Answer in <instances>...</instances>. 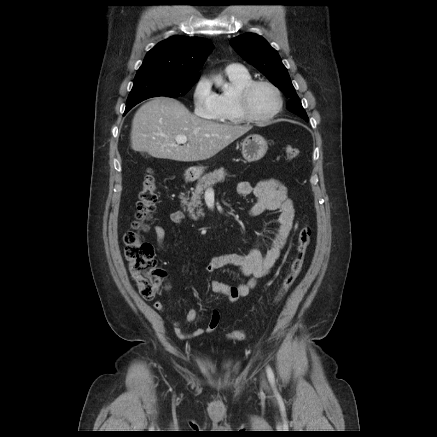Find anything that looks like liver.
<instances>
[{"mask_svg":"<svg viewBox=\"0 0 437 437\" xmlns=\"http://www.w3.org/2000/svg\"><path fill=\"white\" fill-rule=\"evenodd\" d=\"M251 128L205 120L177 100L156 97L135 113L131 143L134 150L156 158L196 162L215 156ZM178 135L186 136L188 142L179 145Z\"/></svg>","mask_w":437,"mask_h":437,"instance_id":"6515ba94","label":"liver"}]
</instances>
